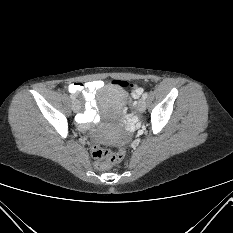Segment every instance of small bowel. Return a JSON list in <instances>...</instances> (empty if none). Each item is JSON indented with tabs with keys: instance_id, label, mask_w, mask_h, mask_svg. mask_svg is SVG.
<instances>
[{
	"instance_id": "obj_1",
	"label": "small bowel",
	"mask_w": 233,
	"mask_h": 233,
	"mask_svg": "<svg viewBox=\"0 0 233 233\" xmlns=\"http://www.w3.org/2000/svg\"><path fill=\"white\" fill-rule=\"evenodd\" d=\"M103 85V81L93 80L86 83L74 82L66 86L70 93L81 94L85 100V110L78 116V122L82 127L97 121L95 94ZM141 91L140 88L136 89L134 95H139Z\"/></svg>"
}]
</instances>
